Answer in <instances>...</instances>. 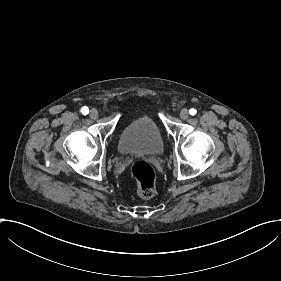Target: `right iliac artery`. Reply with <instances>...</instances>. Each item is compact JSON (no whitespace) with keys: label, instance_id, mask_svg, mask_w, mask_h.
<instances>
[{"label":"right iliac artery","instance_id":"obj_1","mask_svg":"<svg viewBox=\"0 0 281 281\" xmlns=\"http://www.w3.org/2000/svg\"><path fill=\"white\" fill-rule=\"evenodd\" d=\"M81 112H82V114L87 115L89 113L88 107L87 106L82 107Z\"/></svg>","mask_w":281,"mask_h":281}]
</instances>
